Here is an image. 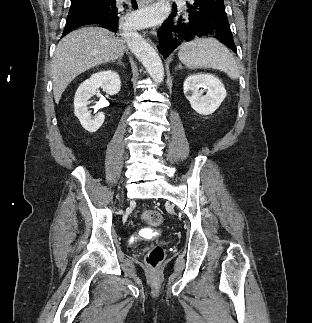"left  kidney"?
<instances>
[{
    "label": "left kidney",
    "instance_id": "obj_1",
    "mask_svg": "<svg viewBox=\"0 0 312 323\" xmlns=\"http://www.w3.org/2000/svg\"><path fill=\"white\" fill-rule=\"evenodd\" d=\"M183 88L191 108L198 114H203V116L213 114L226 98V90L221 80H218L212 74L188 76ZM199 88H205V90H199Z\"/></svg>",
    "mask_w": 312,
    "mask_h": 323
}]
</instances>
